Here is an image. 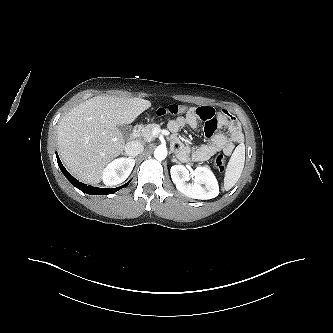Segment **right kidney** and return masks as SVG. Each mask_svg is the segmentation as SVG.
<instances>
[{
	"label": "right kidney",
	"mask_w": 333,
	"mask_h": 333,
	"mask_svg": "<svg viewBox=\"0 0 333 333\" xmlns=\"http://www.w3.org/2000/svg\"><path fill=\"white\" fill-rule=\"evenodd\" d=\"M134 159L118 158L109 163L103 172V182L107 186L117 185L125 181L133 170Z\"/></svg>",
	"instance_id": "obj_1"
}]
</instances>
